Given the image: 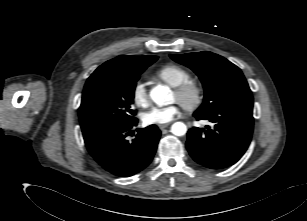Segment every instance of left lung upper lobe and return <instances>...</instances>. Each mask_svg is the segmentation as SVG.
I'll return each instance as SVG.
<instances>
[{
	"label": "left lung upper lobe",
	"instance_id": "left-lung-upper-lobe-1",
	"mask_svg": "<svg viewBox=\"0 0 307 221\" xmlns=\"http://www.w3.org/2000/svg\"><path fill=\"white\" fill-rule=\"evenodd\" d=\"M202 81L204 102L195 113L208 115L230 107L253 108V97L241 70L224 57L208 52L170 54Z\"/></svg>",
	"mask_w": 307,
	"mask_h": 221
}]
</instances>
